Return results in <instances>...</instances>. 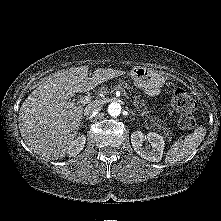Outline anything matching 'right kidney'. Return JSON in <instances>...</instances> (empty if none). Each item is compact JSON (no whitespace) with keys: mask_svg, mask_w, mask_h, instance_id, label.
I'll use <instances>...</instances> for the list:
<instances>
[{"mask_svg":"<svg viewBox=\"0 0 221 221\" xmlns=\"http://www.w3.org/2000/svg\"><path fill=\"white\" fill-rule=\"evenodd\" d=\"M86 141L85 135H79L75 140L72 141V143L69 145L67 154L70 157L77 156L80 151L84 148Z\"/></svg>","mask_w":221,"mask_h":221,"instance_id":"obj_1","label":"right kidney"}]
</instances>
